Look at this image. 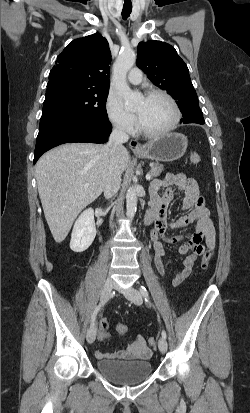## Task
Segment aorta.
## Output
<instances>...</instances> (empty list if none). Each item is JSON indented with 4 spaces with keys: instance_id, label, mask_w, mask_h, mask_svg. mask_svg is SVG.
<instances>
[{
    "instance_id": "1",
    "label": "aorta",
    "mask_w": 250,
    "mask_h": 413,
    "mask_svg": "<svg viewBox=\"0 0 250 413\" xmlns=\"http://www.w3.org/2000/svg\"><path fill=\"white\" fill-rule=\"evenodd\" d=\"M136 61L133 51H124L119 54L113 66V84L118 94L125 100L127 108H133L142 98L139 92L132 91L127 83L126 76ZM126 210L129 219H133L137 209V195L134 187H129L126 193Z\"/></svg>"
}]
</instances>
